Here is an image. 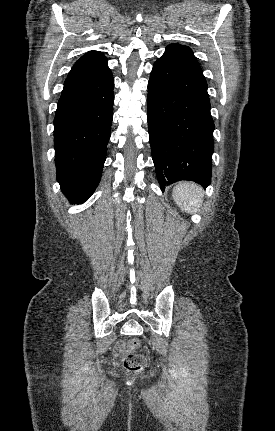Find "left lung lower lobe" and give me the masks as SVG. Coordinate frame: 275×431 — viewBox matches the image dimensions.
Returning <instances> with one entry per match:
<instances>
[{"mask_svg":"<svg viewBox=\"0 0 275 431\" xmlns=\"http://www.w3.org/2000/svg\"><path fill=\"white\" fill-rule=\"evenodd\" d=\"M207 82L186 49L168 45L148 83V128L162 191L179 180L211 182L214 123Z\"/></svg>","mask_w":275,"mask_h":431,"instance_id":"obj_1","label":"left lung lower lobe"}]
</instances>
